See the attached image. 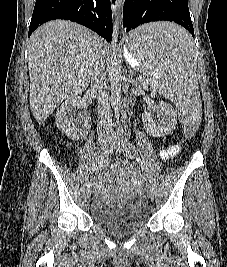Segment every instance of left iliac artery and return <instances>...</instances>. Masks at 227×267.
<instances>
[{
    "instance_id": "1",
    "label": "left iliac artery",
    "mask_w": 227,
    "mask_h": 267,
    "mask_svg": "<svg viewBox=\"0 0 227 267\" xmlns=\"http://www.w3.org/2000/svg\"><path fill=\"white\" fill-rule=\"evenodd\" d=\"M125 141L127 142L129 148L131 150L135 151V147L132 145V143H130V141H128L126 138H125ZM136 159H137L138 163L141 165V167L143 168V163H142L140 157H137Z\"/></svg>"
}]
</instances>
